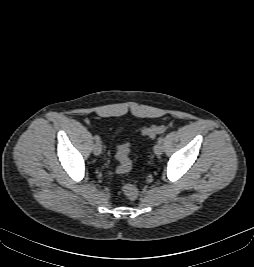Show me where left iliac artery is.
Returning <instances> with one entry per match:
<instances>
[{
  "mask_svg": "<svg viewBox=\"0 0 254 267\" xmlns=\"http://www.w3.org/2000/svg\"><path fill=\"white\" fill-rule=\"evenodd\" d=\"M163 141H164V138H163V137H159V138H158V142H159V143H162Z\"/></svg>",
  "mask_w": 254,
  "mask_h": 267,
  "instance_id": "obj_1",
  "label": "left iliac artery"
}]
</instances>
